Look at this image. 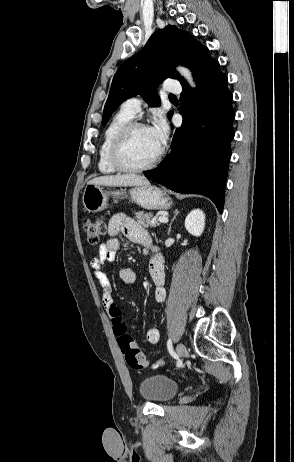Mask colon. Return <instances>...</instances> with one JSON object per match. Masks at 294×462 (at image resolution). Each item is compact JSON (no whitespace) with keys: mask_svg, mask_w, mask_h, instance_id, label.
I'll use <instances>...</instances> for the list:
<instances>
[{"mask_svg":"<svg viewBox=\"0 0 294 462\" xmlns=\"http://www.w3.org/2000/svg\"><path fill=\"white\" fill-rule=\"evenodd\" d=\"M82 229L87 242L91 245H96L106 232V222L101 218H84ZM109 314L112 318L113 332L127 364L136 371L145 368L147 360L136 346L133 338L127 334L126 326L120 316V310L115 304L110 307Z\"/></svg>","mask_w":294,"mask_h":462,"instance_id":"1","label":"colon"}]
</instances>
